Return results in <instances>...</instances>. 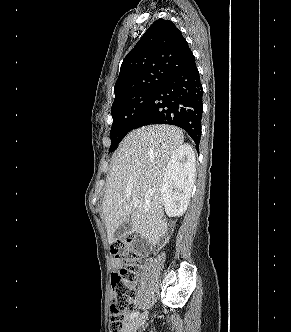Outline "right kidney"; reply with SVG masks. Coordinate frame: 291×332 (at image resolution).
I'll list each match as a JSON object with an SVG mask.
<instances>
[{
  "instance_id": "ca27d5eb",
  "label": "right kidney",
  "mask_w": 291,
  "mask_h": 332,
  "mask_svg": "<svg viewBox=\"0 0 291 332\" xmlns=\"http://www.w3.org/2000/svg\"><path fill=\"white\" fill-rule=\"evenodd\" d=\"M195 172V154L192 147L188 144L181 145L167 165L161 188L162 203L169 217L185 213L192 193Z\"/></svg>"
}]
</instances>
